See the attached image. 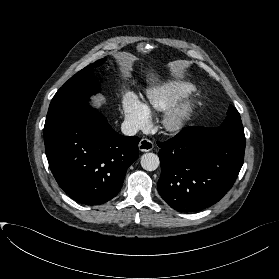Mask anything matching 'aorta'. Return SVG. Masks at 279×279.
Segmentation results:
<instances>
[{"label":"aorta","instance_id":"1","mask_svg":"<svg viewBox=\"0 0 279 279\" xmlns=\"http://www.w3.org/2000/svg\"><path fill=\"white\" fill-rule=\"evenodd\" d=\"M141 166L144 170L154 171L159 167L160 160L159 157L155 153H145L141 157Z\"/></svg>","mask_w":279,"mask_h":279}]
</instances>
